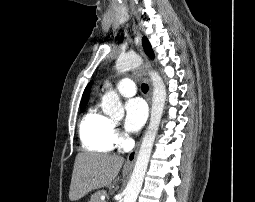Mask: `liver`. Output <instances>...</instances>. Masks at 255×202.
<instances>
[{
	"label": "liver",
	"instance_id": "obj_1",
	"mask_svg": "<svg viewBox=\"0 0 255 202\" xmlns=\"http://www.w3.org/2000/svg\"><path fill=\"white\" fill-rule=\"evenodd\" d=\"M124 159L116 155L79 153L74 162L69 199L77 201L91 190L109 185L117 176Z\"/></svg>",
	"mask_w": 255,
	"mask_h": 202
}]
</instances>
